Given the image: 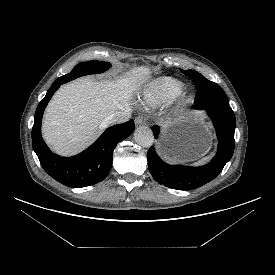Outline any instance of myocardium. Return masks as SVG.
Returning <instances> with one entry per match:
<instances>
[{"label":"myocardium","instance_id":"obj_1","mask_svg":"<svg viewBox=\"0 0 275 275\" xmlns=\"http://www.w3.org/2000/svg\"><path fill=\"white\" fill-rule=\"evenodd\" d=\"M187 102V96L183 93H179L176 99V106L181 107Z\"/></svg>","mask_w":275,"mask_h":275}]
</instances>
